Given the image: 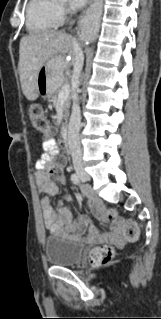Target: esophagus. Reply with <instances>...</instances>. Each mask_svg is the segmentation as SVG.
Returning <instances> with one entry per match:
<instances>
[{
  "instance_id": "obj_1",
  "label": "esophagus",
  "mask_w": 161,
  "mask_h": 319,
  "mask_svg": "<svg viewBox=\"0 0 161 319\" xmlns=\"http://www.w3.org/2000/svg\"><path fill=\"white\" fill-rule=\"evenodd\" d=\"M81 34H82V30H81V27H80V25L78 26V30H77V35L79 36V37H81Z\"/></svg>"
}]
</instances>
